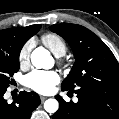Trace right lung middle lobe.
<instances>
[{
    "label": "right lung middle lobe",
    "mask_w": 119,
    "mask_h": 119,
    "mask_svg": "<svg viewBox=\"0 0 119 119\" xmlns=\"http://www.w3.org/2000/svg\"><path fill=\"white\" fill-rule=\"evenodd\" d=\"M19 70V53L0 52V88H7L14 73Z\"/></svg>",
    "instance_id": "obj_1"
}]
</instances>
